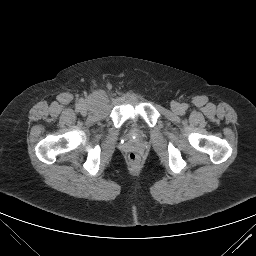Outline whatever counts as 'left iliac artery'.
Masks as SVG:
<instances>
[{
    "instance_id": "left-iliac-artery-1",
    "label": "left iliac artery",
    "mask_w": 256,
    "mask_h": 256,
    "mask_svg": "<svg viewBox=\"0 0 256 256\" xmlns=\"http://www.w3.org/2000/svg\"><path fill=\"white\" fill-rule=\"evenodd\" d=\"M188 109V105L187 104H182V110H187Z\"/></svg>"
}]
</instances>
